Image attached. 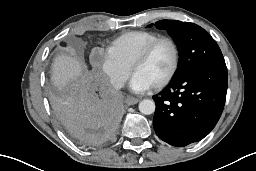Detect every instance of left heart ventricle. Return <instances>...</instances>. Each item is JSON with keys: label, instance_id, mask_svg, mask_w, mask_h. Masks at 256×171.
Returning <instances> with one entry per match:
<instances>
[{"label": "left heart ventricle", "instance_id": "1", "mask_svg": "<svg viewBox=\"0 0 256 171\" xmlns=\"http://www.w3.org/2000/svg\"><path fill=\"white\" fill-rule=\"evenodd\" d=\"M173 64V49L167 42L158 44L148 59L139 65L134 74L153 86L162 81Z\"/></svg>", "mask_w": 256, "mask_h": 171}]
</instances>
